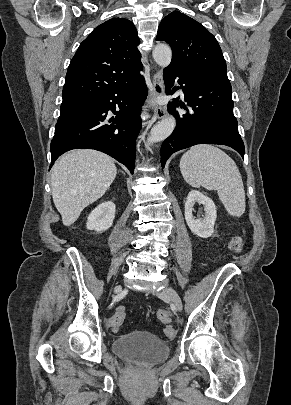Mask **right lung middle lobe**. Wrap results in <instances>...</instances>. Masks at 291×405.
Returning a JSON list of instances; mask_svg holds the SVG:
<instances>
[{
	"mask_svg": "<svg viewBox=\"0 0 291 405\" xmlns=\"http://www.w3.org/2000/svg\"><path fill=\"white\" fill-rule=\"evenodd\" d=\"M91 101L85 102H73V103H66L61 105L60 109V117L58 121H61L74 113L78 112L79 110L85 108L86 106L90 105Z\"/></svg>",
	"mask_w": 291,
	"mask_h": 405,
	"instance_id": "1",
	"label": "right lung middle lobe"
}]
</instances>
